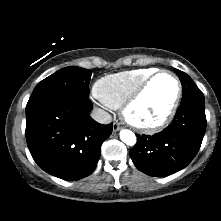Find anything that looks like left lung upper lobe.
<instances>
[{"label":"left lung upper lobe","mask_w":221,"mask_h":221,"mask_svg":"<svg viewBox=\"0 0 221 221\" xmlns=\"http://www.w3.org/2000/svg\"><path fill=\"white\" fill-rule=\"evenodd\" d=\"M176 72L179 76V79L183 87V96H182L181 104L189 100L204 101L203 93L196 86V84L193 82L190 76L177 69H176Z\"/></svg>","instance_id":"left-lung-upper-lobe-1"}]
</instances>
